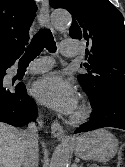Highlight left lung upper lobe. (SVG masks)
I'll return each instance as SVG.
<instances>
[{
	"mask_svg": "<svg viewBox=\"0 0 125 167\" xmlns=\"http://www.w3.org/2000/svg\"><path fill=\"white\" fill-rule=\"evenodd\" d=\"M73 17L69 34L87 40V74L78 79L90 102L105 91L125 90V25L123 15L109 0H50Z\"/></svg>",
	"mask_w": 125,
	"mask_h": 167,
	"instance_id": "1",
	"label": "left lung upper lobe"
}]
</instances>
